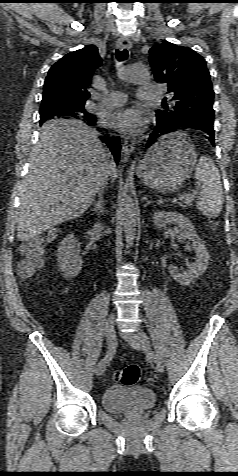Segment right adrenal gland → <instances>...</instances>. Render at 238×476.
Masks as SVG:
<instances>
[{
    "instance_id": "obj_1",
    "label": "right adrenal gland",
    "mask_w": 238,
    "mask_h": 476,
    "mask_svg": "<svg viewBox=\"0 0 238 476\" xmlns=\"http://www.w3.org/2000/svg\"><path fill=\"white\" fill-rule=\"evenodd\" d=\"M104 207H105V203H104V200H103V192H101L99 194V199L98 201L96 202L95 204V209L94 211L95 212H99V213H102L104 211Z\"/></svg>"
}]
</instances>
